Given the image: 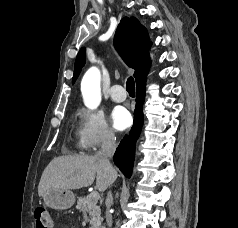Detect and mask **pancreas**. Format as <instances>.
<instances>
[{
  "label": "pancreas",
  "mask_w": 238,
  "mask_h": 228,
  "mask_svg": "<svg viewBox=\"0 0 238 228\" xmlns=\"http://www.w3.org/2000/svg\"><path fill=\"white\" fill-rule=\"evenodd\" d=\"M98 200H92L89 196L79 197L76 209L89 214V228H101V211L97 205Z\"/></svg>",
  "instance_id": "cf45deb5"
}]
</instances>
